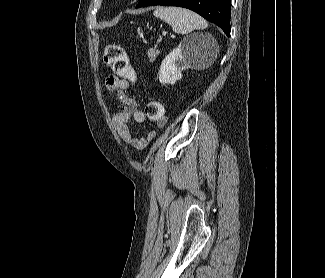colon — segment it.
Wrapping results in <instances>:
<instances>
[{
  "instance_id": "colon-1",
  "label": "colon",
  "mask_w": 325,
  "mask_h": 278,
  "mask_svg": "<svg viewBox=\"0 0 325 278\" xmlns=\"http://www.w3.org/2000/svg\"><path fill=\"white\" fill-rule=\"evenodd\" d=\"M104 63L119 78L134 82L136 73L131 66L125 50L115 44L108 45L103 55ZM146 117L153 122L162 123L165 118L164 106L158 101H152L145 108Z\"/></svg>"
}]
</instances>
